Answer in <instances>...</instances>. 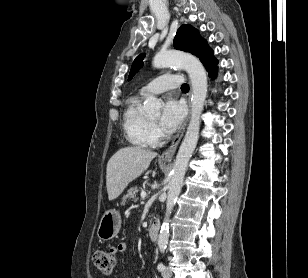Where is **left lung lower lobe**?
Wrapping results in <instances>:
<instances>
[{
    "mask_svg": "<svg viewBox=\"0 0 308 278\" xmlns=\"http://www.w3.org/2000/svg\"><path fill=\"white\" fill-rule=\"evenodd\" d=\"M208 72H209L210 77L214 78L217 74V67L215 66L213 68L208 69Z\"/></svg>",
    "mask_w": 308,
    "mask_h": 278,
    "instance_id": "0a47b994",
    "label": "left lung lower lobe"
}]
</instances>
